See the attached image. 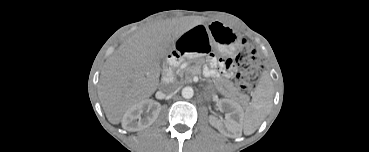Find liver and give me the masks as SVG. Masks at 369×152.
Segmentation results:
<instances>
[{
	"label": "liver",
	"mask_w": 369,
	"mask_h": 152,
	"mask_svg": "<svg viewBox=\"0 0 369 152\" xmlns=\"http://www.w3.org/2000/svg\"><path fill=\"white\" fill-rule=\"evenodd\" d=\"M188 29L186 23L177 19L152 23L127 38L106 60L98 95L110 123H120L130 107L156 91L160 60Z\"/></svg>",
	"instance_id": "1"
}]
</instances>
